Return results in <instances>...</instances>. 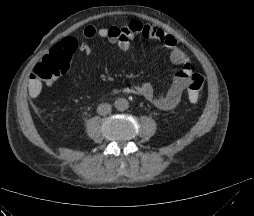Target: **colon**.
Wrapping results in <instances>:
<instances>
[{
    "label": "colon",
    "mask_w": 254,
    "mask_h": 216,
    "mask_svg": "<svg viewBox=\"0 0 254 216\" xmlns=\"http://www.w3.org/2000/svg\"><path fill=\"white\" fill-rule=\"evenodd\" d=\"M69 68V55L51 49L35 66L34 74L25 85V94L32 101L43 100L52 88V81L63 75ZM204 87V77L198 72L190 74L187 92L191 103L198 100Z\"/></svg>",
    "instance_id": "1"
}]
</instances>
